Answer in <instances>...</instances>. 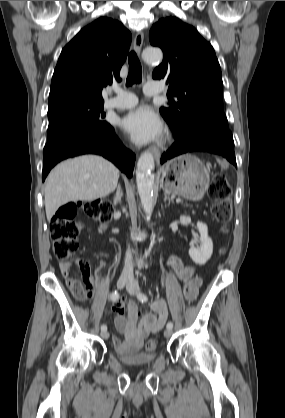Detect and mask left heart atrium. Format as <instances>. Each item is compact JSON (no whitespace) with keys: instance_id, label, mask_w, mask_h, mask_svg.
Here are the masks:
<instances>
[{"instance_id":"1","label":"left heart atrium","mask_w":285,"mask_h":418,"mask_svg":"<svg viewBox=\"0 0 285 418\" xmlns=\"http://www.w3.org/2000/svg\"><path fill=\"white\" fill-rule=\"evenodd\" d=\"M123 128L135 142L146 143L159 138L164 126L160 116L152 108L141 106L126 115Z\"/></svg>"}]
</instances>
